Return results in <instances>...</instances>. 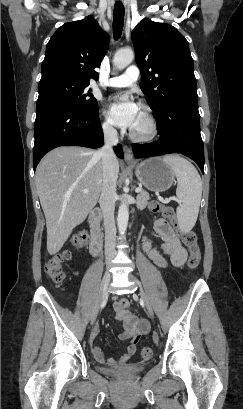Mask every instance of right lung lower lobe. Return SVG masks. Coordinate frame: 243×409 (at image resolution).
<instances>
[{
  "label": "right lung lower lobe",
  "mask_w": 243,
  "mask_h": 409,
  "mask_svg": "<svg viewBox=\"0 0 243 409\" xmlns=\"http://www.w3.org/2000/svg\"><path fill=\"white\" fill-rule=\"evenodd\" d=\"M72 145L98 148L103 145V131L97 108L79 111L69 107H46L36 111L33 169L50 150ZM123 158L120 145L114 148Z\"/></svg>",
  "instance_id": "98d812e1"
}]
</instances>
